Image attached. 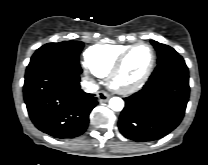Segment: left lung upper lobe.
<instances>
[{
    "label": "left lung upper lobe",
    "mask_w": 208,
    "mask_h": 165,
    "mask_svg": "<svg viewBox=\"0 0 208 165\" xmlns=\"http://www.w3.org/2000/svg\"><path fill=\"white\" fill-rule=\"evenodd\" d=\"M152 45L155 47L158 53V63L162 62L163 60L177 55L178 53L168 45L158 43L154 40L151 41Z\"/></svg>",
    "instance_id": "5c2ea615"
}]
</instances>
